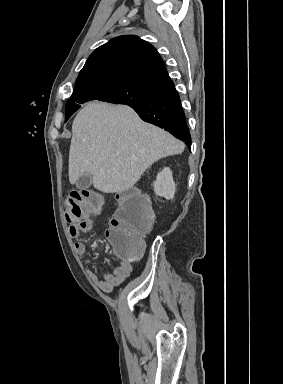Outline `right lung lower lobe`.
Here are the masks:
<instances>
[{"mask_svg": "<svg viewBox=\"0 0 283 384\" xmlns=\"http://www.w3.org/2000/svg\"><path fill=\"white\" fill-rule=\"evenodd\" d=\"M127 105L132 107L142 120L170 132L191 149V135L180 97L171 80L155 89L147 101Z\"/></svg>", "mask_w": 283, "mask_h": 384, "instance_id": "98d812e1", "label": "right lung lower lobe"}]
</instances>
